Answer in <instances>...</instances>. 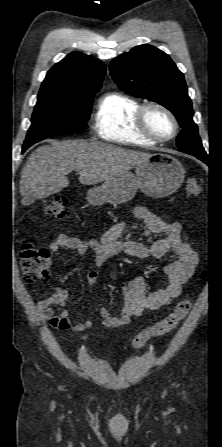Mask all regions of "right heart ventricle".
I'll list each match as a JSON object with an SVG mask.
<instances>
[{
	"instance_id": "1",
	"label": "right heart ventricle",
	"mask_w": 222,
	"mask_h": 447,
	"mask_svg": "<svg viewBox=\"0 0 222 447\" xmlns=\"http://www.w3.org/2000/svg\"><path fill=\"white\" fill-rule=\"evenodd\" d=\"M140 102L121 93L103 96L94 115V131L98 137L119 144L153 145L155 141L143 135L136 124Z\"/></svg>"
}]
</instances>
